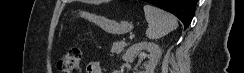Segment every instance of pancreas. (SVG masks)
<instances>
[{"label": "pancreas", "mask_w": 244, "mask_h": 73, "mask_svg": "<svg viewBox=\"0 0 244 73\" xmlns=\"http://www.w3.org/2000/svg\"><path fill=\"white\" fill-rule=\"evenodd\" d=\"M126 47V43L124 41H115L113 44H112V47H111V53L114 55V54H120L124 48Z\"/></svg>", "instance_id": "1"}]
</instances>
